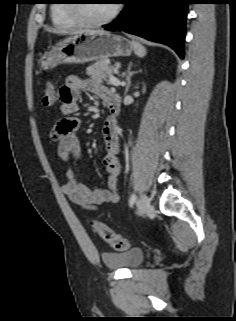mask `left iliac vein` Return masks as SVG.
Returning a JSON list of instances; mask_svg holds the SVG:
<instances>
[{
  "label": "left iliac vein",
  "mask_w": 236,
  "mask_h": 321,
  "mask_svg": "<svg viewBox=\"0 0 236 321\" xmlns=\"http://www.w3.org/2000/svg\"><path fill=\"white\" fill-rule=\"evenodd\" d=\"M149 209H150V200L145 194H142L139 200L137 214L139 216H142Z\"/></svg>",
  "instance_id": "4c4485c4"
}]
</instances>
